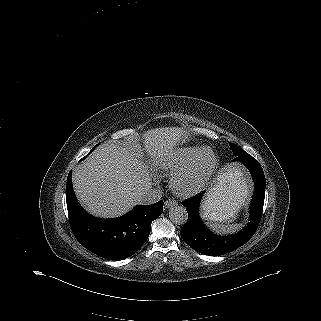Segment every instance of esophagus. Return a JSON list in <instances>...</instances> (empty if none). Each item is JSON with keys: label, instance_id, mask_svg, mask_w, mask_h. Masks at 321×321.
Returning a JSON list of instances; mask_svg holds the SVG:
<instances>
[{"label": "esophagus", "instance_id": "obj_1", "mask_svg": "<svg viewBox=\"0 0 321 321\" xmlns=\"http://www.w3.org/2000/svg\"><path fill=\"white\" fill-rule=\"evenodd\" d=\"M165 208L168 209V208H171L173 206H176L177 205V201L176 200H173V199H168L165 201Z\"/></svg>", "mask_w": 321, "mask_h": 321}]
</instances>
